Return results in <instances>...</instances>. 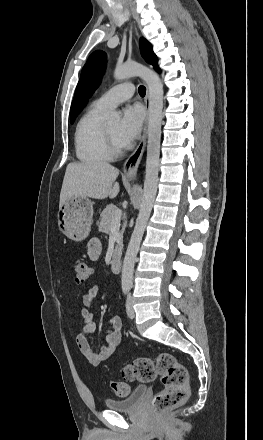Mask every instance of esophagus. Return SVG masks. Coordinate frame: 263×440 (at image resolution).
<instances>
[{
    "instance_id": "34e87169",
    "label": "esophagus",
    "mask_w": 263,
    "mask_h": 440,
    "mask_svg": "<svg viewBox=\"0 0 263 440\" xmlns=\"http://www.w3.org/2000/svg\"><path fill=\"white\" fill-rule=\"evenodd\" d=\"M136 34L138 35L137 31H136ZM149 106H150V96H149V91L147 88V92H146V96H145L146 118H145L142 137H141L140 142L137 145L136 149L127 158V160L125 161V163L123 165L122 176L126 179H129V180L134 178V176L138 170L139 164L142 160L144 151H145L146 142H147V134H148Z\"/></svg>"
}]
</instances>
